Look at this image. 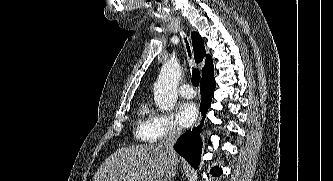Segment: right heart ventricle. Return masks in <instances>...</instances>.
<instances>
[{
  "label": "right heart ventricle",
  "instance_id": "obj_1",
  "mask_svg": "<svg viewBox=\"0 0 333 181\" xmlns=\"http://www.w3.org/2000/svg\"><path fill=\"white\" fill-rule=\"evenodd\" d=\"M137 125L135 129V136L140 141L154 142L156 141L153 134V121L156 116L155 111L151 108L150 104L143 102L137 110Z\"/></svg>",
  "mask_w": 333,
  "mask_h": 181
}]
</instances>
